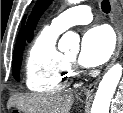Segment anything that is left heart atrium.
<instances>
[{
    "instance_id": "obj_1",
    "label": "left heart atrium",
    "mask_w": 123,
    "mask_h": 113,
    "mask_svg": "<svg viewBox=\"0 0 123 113\" xmlns=\"http://www.w3.org/2000/svg\"><path fill=\"white\" fill-rule=\"evenodd\" d=\"M114 49L111 31L105 26L88 29L82 39L79 62L86 67H95L106 62Z\"/></svg>"
}]
</instances>
